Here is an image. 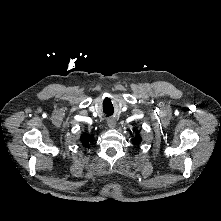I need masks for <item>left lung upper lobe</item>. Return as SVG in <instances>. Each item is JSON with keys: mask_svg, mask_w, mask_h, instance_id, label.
I'll return each mask as SVG.
<instances>
[{"mask_svg": "<svg viewBox=\"0 0 221 221\" xmlns=\"http://www.w3.org/2000/svg\"><path fill=\"white\" fill-rule=\"evenodd\" d=\"M141 141V137H135L134 139H133V142L134 143H139Z\"/></svg>", "mask_w": 221, "mask_h": 221, "instance_id": "obj_1", "label": "left lung upper lobe"}]
</instances>
